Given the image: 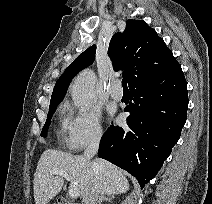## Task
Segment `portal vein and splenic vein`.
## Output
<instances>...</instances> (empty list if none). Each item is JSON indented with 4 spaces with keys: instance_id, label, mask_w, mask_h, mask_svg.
<instances>
[{
    "instance_id": "portal-vein-and-splenic-vein-1",
    "label": "portal vein and splenic vein",
    "mask_w": 212,
    "mask_h": 204,
    "mask_svg": "<svg viewBox=\"0 0 212 204\" xmlns=\"http://www.w3.org/2000/svg\"><path fill=\"white\" fill-rule=\"evenodd\" d=\"M50 175L53 176V175H60V176H63L67 181H71V178L70 176L68 175V173L62 169H53L50 171ZM80 193H79V190L75 187H70L69 188V196L71 198H77L79 197Z\"/></svg>"
}]
</instances>
